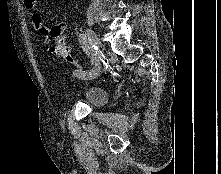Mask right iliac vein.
<instances>
[{"label":"right iliac vein","instance_id":"right-iliac-vein-1","mask_svg":"<svg viewBox=\"0 0 221 174\" xmlns=\"http://www.w3.org/2000/svg\"><path fill=\"white\" fill-rule=\"evenodd\" d=\"M87 36L90 39V45H91V53L95 54V51L99 49L101 46L100 41L96 35V33L92 29L87 30Z\"/></svg>","mask_w":221,"mask_h":174}]
</instances>
